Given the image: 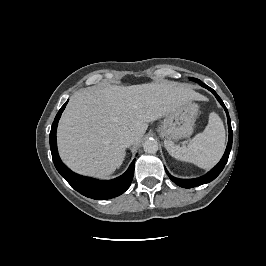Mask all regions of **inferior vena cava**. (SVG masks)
<instances>
[{
  "instance_id": "1",
  "label": "inferior vena cava",
  "mask_w": 266,
  "mask_h": 266,
  "mask_svg": "<svg viewBox=\"0 0 266 266\" xmlns=\"http://www.w3.org/2000/svg\"><path fill=\"white\" fill-rule=\"evenodd\" d=\"M121 141L125 147H129L134 143V137L131 134H125Z\"/></svg>"
}]
</instances>
